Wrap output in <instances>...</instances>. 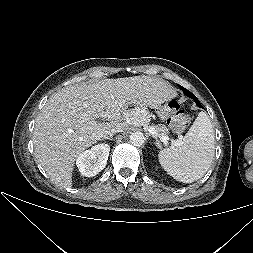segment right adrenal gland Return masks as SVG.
Listing matches in <instances>:
<instances>
[{"label":"right adrenal gland","instance_id":"obj_1","mask_svg":"<svg viewBox=\"0 0 253 253\" xmlns=\"http://www.w3.org/2000/svg\"><path fill=\"white\" fill-rule=\"evenodd\" d=\"M104 139L113 140V135H110L109 137H105V138H103L102 140H104Z\"/></svg>","mask_w":253,"mask_h":253}]
</instances>
